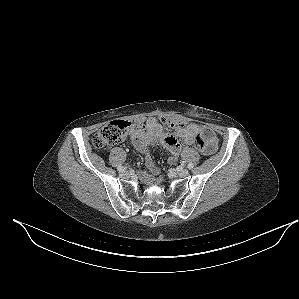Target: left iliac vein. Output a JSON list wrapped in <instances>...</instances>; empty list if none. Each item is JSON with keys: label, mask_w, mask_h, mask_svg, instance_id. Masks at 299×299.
I'll return each instance as SVG.
<instances>
[{"label": "left iliac vein", "mask_w": 299, "mask_h": 299, "mask_svg": "<svg viewBox=\"0 0 299 299\" xmlns=\"http://www.w3.org/2000/svg\"><path fill=\"white\" fill-rule=\"evenodd\" d=\"M175 173L180 177H186L189 175V171L187 169L175 170Z\"/></svg>", "instance_id": "left-iliac-vein-1"}]
</instances>
